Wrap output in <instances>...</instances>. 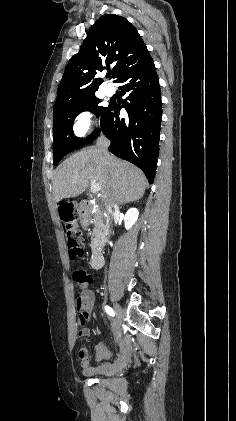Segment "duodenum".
I'll use <instances>...</instances> for the list:
<instances>
[{
    "label": "duodenum",
    "instance_id": "duodenum-1",
    "mask_svg": "<svg viewBox=\"0 0 236 421\" xmlns=\"http://www.w3.org/2000/svg\"><path fill=\"white\" fill-rule=\"evenodd\" d=\"M88 207L89 201L86 199H82L76 202L73 206V210L75 214L79 217L82 225L86 227L88 225ZM91 266L94 269H100L104 264V252L102 248L95 249L91 259H90ZM120 354L117 357L115 363H106L97 367L90 368V373L92 374H112L122 368L130 358V347L127 340L123 339L120 341ZM108 354L106 352H102L100 358H107Z\"/></svg>",
    "mask_w": 236,
    "mask_h": 421
}]
</instances>
